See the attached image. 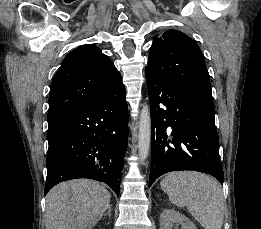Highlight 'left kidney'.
<instances>
[{
    "mask_svg": "<svg viewBox=\"0 0 261 229\" xmlns=\"http://www.w3.org/2000/svg\"><path fill=\"white\" fill-rule=\"evenodd\" d=\"M160 229H172L173 225H181L182 229H196L194 223L185 215L177 213L174 209H165L160 215Z\"/></svg>",
    "mask_w": 261,
    "mask_h": 229,
    "instance_id": "5707ae66",
    "label": "left kidney"
}]
</instances>
